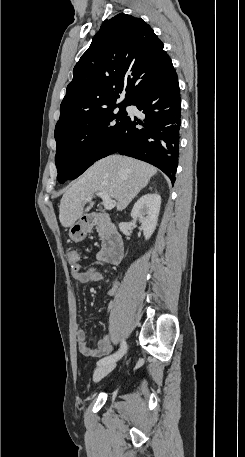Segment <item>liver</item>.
Instances as JSON below:
<instances>
[{
    "label": "liver",
    "instance_id": "1",
    "mask_svg": "<svg viewBox=\"0 0 245 457\" xmlns=\"http://www.w3.org/2000/svg\"><path fill=\"white\" fill-rule=\"evenodd\" d=\"M156 172L152 164L121 154L97 160L65 190L59 206L62 226H72L83 212L90 210L94 202L84 210L86 198H92L95 192H107L117 200V210H123Z\"/></svg>",
    "mask_w": 245,
    "mask_h": 457
}]
</instances>
